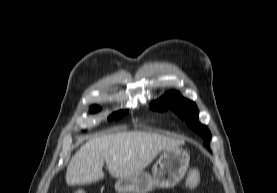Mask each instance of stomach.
Returning a JSON list of instances; mask_svg holds the SVG:
<instances>
[{"label":"stomach","mask_w":277,"mask_h":193,"mask_svg":"<svg viewBox=\"0 0 277 193\" xmlns=\"http://www.w3.org/2000/svg\"><path fill=\"white\" fill-rule=\"evenodd\" d=\"M189 153L176 146L166 148L152 168V175L141 171L129 177L118 178L115 189L118 193H149L155 187L172 188L187 172Z\"/></svg>","instance_id":"stomach-1"}]
</instances>
